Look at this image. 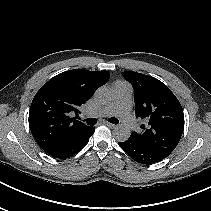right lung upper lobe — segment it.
<instances>
[{
    "label": "right lung upper lobe",
    "instance_id": "obj_1",
    "mask_svg": "<svg viewBox=\"0 0 211 211\" xmlns=\"http://www.w3.org/2000/svg\"><path fill=\"white\" fill-rule=\"evenodd\" d=\"M109 77L108 71L74 69L54 76L39 89L30 107L29 127L45 152L61 148L90 128L71 116H78V108Z\"/></svg>",
    "mask_w": 211,
    "mask_h": 211
}]
</instances>
